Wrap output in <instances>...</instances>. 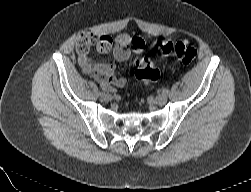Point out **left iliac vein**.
<instances>
[{
	"mask_svg": "<svg viewBox=\"0 0 251 192\" xmlns=\"http://www.w3.org/2000/svg\"><path fill=\"white\" fill-rule=\"evenodd\" d=\"M166 102H167V95L166 94H160L155 99V103L157 105H164Z\"/></svg>",
	"mask_w": 251,
	"mask_h": 192,
	"instance_id": "obj_1",
	"label": "left iliac vein"
}]
</instances>
